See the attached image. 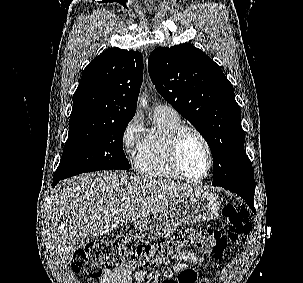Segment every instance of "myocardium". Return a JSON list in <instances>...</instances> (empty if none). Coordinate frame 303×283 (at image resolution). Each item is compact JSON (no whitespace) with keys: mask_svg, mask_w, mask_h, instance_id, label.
Wrapping results in <instances>:
<instances>
[{"mask_svg":"<svg viewBox=\"0 0 303 283\" xmlns=\"http://www.w3.org/2000/svg\"><path fill=\"white\" fill-rule=\"evenodd\" d=\"M187 133H192L194 135H196L199 140L202 142L206 153H207V158H208V165H207V169L205 171V173L203 174V176H201L200 178H191L189 177L181 164V158H180V148H181V143L183 138L185 137V135ZM169 155H170V160L171 163L175 169V171L179 174V176L188 181V182H192V183H198L203 181L204 179H206L208 177V175L210 174L212 168H213V152H212V148L207 140V138L204 136V134L198 130L197 128L190 126V125H184L182 124L181 126H179L171 135L170 139H169Z\"/></svg>","mask_w":303,"mask_h":283,"instance_id":"obj_1","label":"myocardium"}]
</instances>
